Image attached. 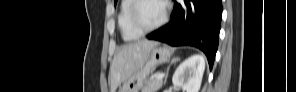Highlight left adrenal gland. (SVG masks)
I'll list each match as a JSON object with an SVG mask.
<instances>
[{
    "mask_svg": "<svg viewBox=\"0 0 296 92\" xmlns=\"http://www.w3.org/2000/svg\"><path fill=\"white\" fill-rule=\"evenodd\" d=\"M179 57H174L172 60H171V63L170 65L167 67V70H166V73H165V77H164V85L166 84L167 82V78H168V74H169V69L171 67L172 64L176 63L177 61H179Z\"/></svg>",
    "mask_w": 296,
    "mask_h": 92,
    "instance_id": "1",
    "label": "left adrenal gland"
}]
</instances>
